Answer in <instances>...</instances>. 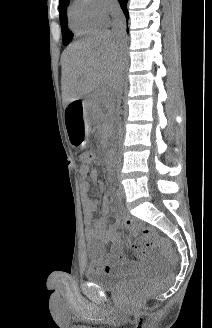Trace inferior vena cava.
Returning a JSON list of instances; mask_svg holds the SVG:
<instances>
[{"label":"inferior vena cava","mask_w":212,"mask_h":328,"mask_svg":"<svg viewBox=\"0 0 212 328\" xmlns=\"http://www.w3.org/2000/svg\"><path fill=\"white\" fill-rule=\"evenodd\" d=\"M110 15L112 17L113 20V29L112 32L114 35H116L119 39L123 40L125 37V33H126V21H125V17L122 13V10L120 8V6L117 3H113L110 6ZM123 93V80L120 77L117 81V84L115 86L114 89V97L115 102H117V111L119 109L120 106V99H121V95ZM116 123L118 124L119 127V135L121 134V126H122V122L121 119L119 117V111L117 114V121Z\"/></svg>","instance_id":"1"}]
</instances>
